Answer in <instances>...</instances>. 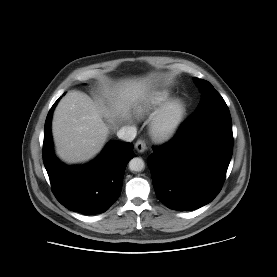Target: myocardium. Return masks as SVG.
Segmentation results:
<instances>
[{
  "instance_id": "myocardium-1",
  "label": "myocardium",
  "mask_w": 277,
  "mask_h": 277,
  "mask_svg": "<svg viewBox=\"0 0 277 277\" xmlns=\"http://www.w3.org/2000/svg\"><path fill=\"white\" fill-rule=\"evenodd\" d=\"M187 106L182 98L169 100L154 115L150 123L151 136L159 142L171 139L181 127Z\"/></svg>"
}]
</instances>
